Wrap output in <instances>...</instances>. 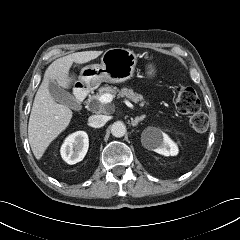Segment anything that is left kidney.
Here are the masks:
<instances>
[{
  "label": "left kidney",
  "instance_id": "5707ae66",
  "mask_svg": "<svg viewBox=\"0 0 240 240\" xmlns=\"http://www.w3.org/2000/svg\"><path fill=\"white\" fill-rule=\"evenodd\" d=\"M152 134L154 141H148V135ZM142 144L149 150H153L164 156H175L178 154L177 145L168 137L167 134L155 127H149L142 133Z\"/></svg>",
  "mask_w": 240,
  "mask_h": 240
}]
</instances>
